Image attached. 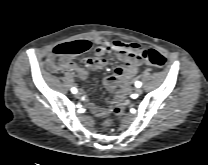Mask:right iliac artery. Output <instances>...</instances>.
<instances>
[{
  "label": "right iliac artery",
  "mask_w": 208,
  "mask_h": 165,
  "mask_svg": "<svg viewBox=\"0 0 208 165\" xmlns=\"http://www.w3.org/2000/svg\"><path fill=\"white\" fill-rule=\"evenodd\" d=\"M71 92L75 94V93H77V89L76 88H72Z\"/></svg>",
  "instance_id": "82829eb1"
}]
</instances>
